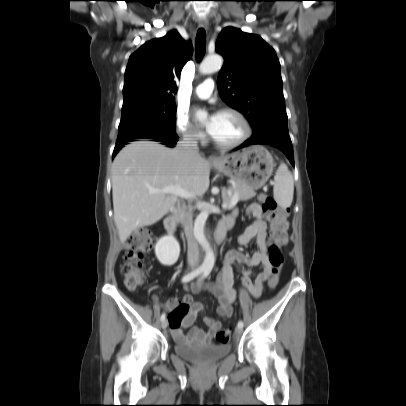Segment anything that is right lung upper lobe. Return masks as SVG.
Returning a JSON list of instances; mask_svg holds the SVG:
<instances>
[{
    "label": "right lung upper lobe",
    "instance_id": "right-lung-upper-lobe-1",
    "mask_svg": "<svg viewBox=\"0 0 406 406\" xmlns=\"http://www.w3.org/2000/svg\"><path fill=\"white\" fill-rule=\"evenodd\" d=\"M192 45L176 30L133 53L125 71L123 107L141 103L175 104L176 81L192 56Z\"/></svg>",
    "mask_w": 406,
    "mask_h": 406
}]
</instances>
